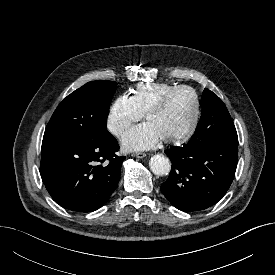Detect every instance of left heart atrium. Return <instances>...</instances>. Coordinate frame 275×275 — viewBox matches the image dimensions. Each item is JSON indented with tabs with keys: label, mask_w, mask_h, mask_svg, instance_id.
<instances>
[{
	"label": "left heart atrium",
	"mask_w": 275,
	"mask_h": 275,
	"mask_svg": "<svg viewBox=\"0 0 275 275\" xmlns=\"http://www.w3.org/2000/svg\"><path fill=\"white\" fill-rule=\"evenodd\" d=\"M162 137L150 122L131 128L122 138V146L127 151H144L156 147Z\"/></svg>",
	"instance_id": "1"
}]
</instances>
